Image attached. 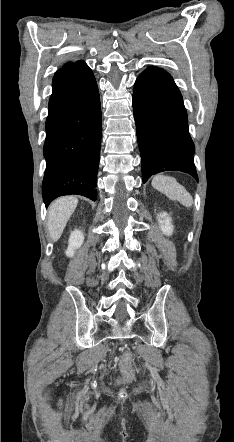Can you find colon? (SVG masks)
Listing matches in <instances>:
<instances>
[{
	"label": "colon",
	"instance_id": "1",
	"mask_svg": "<svg viewBox=\"0 0 234 442\" xmlns=\"http://www.w3.org/2000/svg\"><path fill=\"white\" fill-rule=\"evenodd\" d=\"M133 353L132 351H126L121 358V371L124 379H127L129 383L134 384L137 381L134 376V370L132 367Z\"/></svg>",
	"mask_w": 234,
	"mask_h": 442
}]
</instances>
